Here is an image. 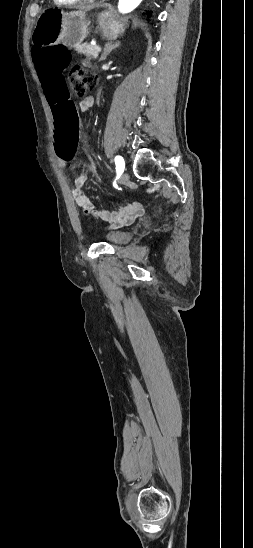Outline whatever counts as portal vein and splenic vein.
Here are the masks:
<instances>
[{"mask_svg": "<svg viewBox=\"0 0 253 548\" xmlns=\"http://www.w3.org/2000/svg\"><path fill=\"white\" fill-rule=\"evenodd\" d=\"M96 50H97V51H100V50H101V47H100V46H97V47H96Z\"/></svg>", "mask_w": 253, "mask_h": 548, "instance_id": "18ae733b", "label": "portal vein and splenic vein"}]
</instances>
